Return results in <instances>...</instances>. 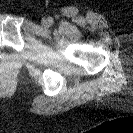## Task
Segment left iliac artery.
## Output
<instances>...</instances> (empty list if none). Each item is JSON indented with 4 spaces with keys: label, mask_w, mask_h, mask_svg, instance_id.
Returning a JSON list of instances; mask_svg holds the SVG:
<instances>
[{
    "label": "left iliac artery",
    "mask_w": 133,
    "mask_h": 133,
    "mask_svg": "<svg viewBox=\"0 0 133 133\" xmlns=\"http://www.w3.org/2000/svg\"><path fill=\"white\" fill-rule=\"evenodd\" d=\"M50 24H53V19L49 18Z\"/></svg>",
    "instance_id": "left-iliac-artery-1"
}]
</instances>
